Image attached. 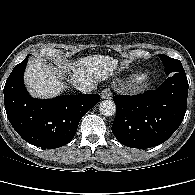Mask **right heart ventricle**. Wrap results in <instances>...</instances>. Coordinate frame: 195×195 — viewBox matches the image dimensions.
Segmentation results:
<instances>
[{
	"label": "right heart ventricle",
	"instance_id": "1",
	"mask_svg": "<svg viewBox=\"0 0 195 195\" xmlns=\"http://www.w3.org/2000/svg\"><path fill=\"white\" fill-rule=\"evenodd\" d=\"M142 79V76H134L133 78H132V80L133 81H140Z\"/></svg>",
	"mask_w": 195,
	"mask_h": 195
}]
</instances>
